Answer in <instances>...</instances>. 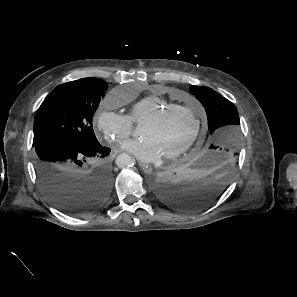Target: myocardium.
<instances>
[{
	"label": "myocardium",
	"mask_w": 297,
	"mask_h": 297,
	"mask_svg": "<svg viewBox=\"0 0 297 297\" xmlns=\"http://www.w3.org/2000/svg\"><path fill=\"white\" fill-rule=\"evenodd\" d=\"M178 111L191 113L195 120V128H194L192 135L189 137V139L182 146H180L178 149L173 150L163 156L164 160H172V159L178 158L179 156L184 154L186 151H188L195 144V142L197 141L198 137L200 136L201 130H202V121H201V116H200L199 110L197 108H194L191 106H186V105H173V106H169V107L161 109L156 114L149 117L143 123V125L155 124V123L161 121L165 116H167L173 112H178Z\"/></svg>",
	"instance_id": "obj_1"
}]
</instances>
